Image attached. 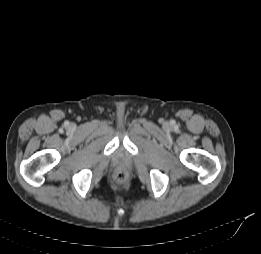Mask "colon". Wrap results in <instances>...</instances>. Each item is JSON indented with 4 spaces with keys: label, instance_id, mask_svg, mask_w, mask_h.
Instances as JSON below:
<instances>
[{
    "label": "colon",
    "instance_id": "1",
    "mask_svg": "<svg viewBox=\"0 0 261 254\" xmlns=\"http://www.w3.org/2000/svg\"><path fill=\"white\" fill-rule=\"evenodd\" d=\"M126 179H127V173H126V172H123V171L118 172V173L115 175V178H114V180H115V182H116L117 184H122V183H124V182L126 181Z\"/></svg>",
    "mask_w": 261,
    "mask_h": 254
}]
</instances>
